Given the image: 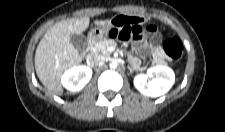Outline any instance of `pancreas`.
Returning <instances> with one entry per match:
<instances>
[{
    "instance_id": "pancreas-1",
    "label": "pancreas",
    "mask_w": 225,
    "mask_h": 132,
    "mask_svg": "<svg viewBox=\"0 0 225 132\" xmlns=\"http://www.w3.org/2000/svg\"><path fill=\"white\" fill-rule=\"evenodd\" d=\"M116 46H117V44L114 40L104 39V40L96 42L92 46L91 51L94 54H98V55L106 57V56H109L111 54V52L108 50L109 47L115 48Z\"/></svg>"
}]
</instances>
